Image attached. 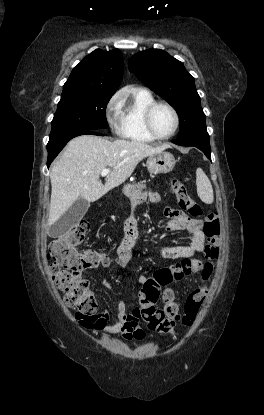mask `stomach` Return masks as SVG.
Segmentation results:
<instances>
[{
	"mask_svg": "<svg viewBox=\"0 0 264 415\" xmlns=\"http://www.w3.org/2000/svg\"><path fill=\"white\" fill-rule=\"evenodd\" d=\"M146 163L147 169L151 174H165L172 171L175 165V158L170 152L163 151L148 156ZM141 187L140 184H127L124 187L123 192L127 197L135 199L137 198Z\"/></svg>",
	"mask_w": 264,
	"mask_h": 415,
	"instance_id": "0dacf381",
	"label": "stomach"
}]
</instances>
